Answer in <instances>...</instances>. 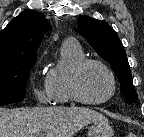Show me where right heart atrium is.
Wrapping results in <instances>:
<instances>
[{
    "label": "right heart atrium",
    "instance_id": "d8ad5b80",
    "mask_svg": "<svg viewBox=\"0 0 144 137\" xmlns=\"http://www.w3.org/2000/svg\"><path fill=\"white\" fill-rule=\"evenodd\" d=\"M33 92L36 99L40 103H49L52 101V97L50 91L46 85V81H44L43 86H38L37 84L33 85Z\"/></svg>",
    "mask_w": 144,
    "mask_h": 137
}]
</instances>
